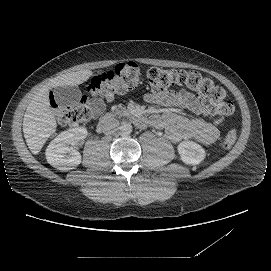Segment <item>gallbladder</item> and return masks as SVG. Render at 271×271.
Segmentation results:
<instances>
[{"label":"gallbladder","mask_w":271,"mask_h":271,"mask_svg":"<svg viewBox=\"0 0 271 271\" xmlns=\"http://www.w3.org/2000/svg\"><path fill=\"white\" fill-rule=\"evenodd\" d=\"M55 93L58 105L66 111L77 109L81 103V95L79 91L73 87H56Z\"/></svg>","instance_id":"1"}]
</instances>
